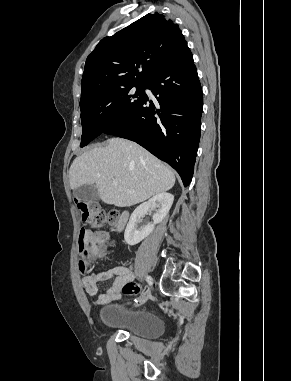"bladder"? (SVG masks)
<instances>
[{
  "instance_id": "bladder-1",
  "label": "bladder",
  "mask_w": 291,
  "mask_h": 381,
  "mask_svg": "<svg viewBox=\"0 0 291 381\" xmlns=\"http://www.w3.org/2000/svg\"><path fill=\"white\" fill-rule=\"evenodd\" d=\"M101 323L107 329L127 332L144 339H154L164 330L163 322L156 313L130 311L122 303L104 305L101 308Z\"/></svg>"
}]
</instances>
